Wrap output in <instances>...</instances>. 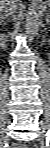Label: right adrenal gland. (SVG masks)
I'll return each instance as SVG.
<instances>
[{
	"label": "right adrenal gland",
	"mask_w": 50,
	"mask_h": 148,
	"mask_svg": "<svg viewBox=\"0 0 50 148\" xmlns=\"http://www.w3.org/2000/svg\"><path fill=\"white\" fill-rule=\"evenodd\" d=\"M7 17H8V16H7V15H5V16H3V17H1V18H3V19H4V18H7Z\"/></svg>",
	"instance_id": "1"
}]
</instances>
